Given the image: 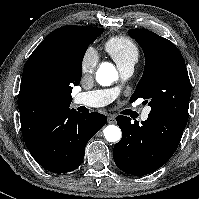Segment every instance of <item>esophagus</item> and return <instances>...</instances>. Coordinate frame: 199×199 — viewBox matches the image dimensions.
<instances>
[{"label":"esophagus","mask_w":199,"mask_h":199,"mask_svg":"<svg viewBox=\"0 0 199 199\" xmlns=\"http://www.w3.org/2000/svg\"><path fill=\"white\" fill-rule=\"evenodd\" d=\"M108 123L109 124L115 123V118L113 116L108 117Z\"/></svg>","instance_id":"34e87169"}]
</instances>
